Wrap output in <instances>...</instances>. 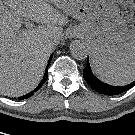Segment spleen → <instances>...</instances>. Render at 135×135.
Wrapping results in <instances>:
<instances>
[{
	"label": "spleen",
	"instance_id": "3e777b00",
	"mask_svg": "<svg viewBox=\"0 0 135 135\" xmlns=\"http://www.w3.org/2000/svg\"><path fill=\"white\" fill-rule=\"evenodd\" d=\"M91 65L96 74L111 85L123 86L135 80V60L110 70L103 69L96 59H91Z\"/></svg>",
	"mask_w": 135,
	"mask_h": 135
}]
</instances>
